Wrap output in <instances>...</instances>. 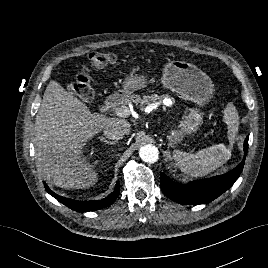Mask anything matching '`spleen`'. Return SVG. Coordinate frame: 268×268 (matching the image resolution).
<instances>
[{
    "label": "spleen",
    "instance_id": "1",
    "mask_svg": "<svg viewBox=\"0 0 268 268\" xmlns=\"http://www.w3.org/2000/svg\"><path fill=\"white\" fill-rule=\"evenodd\" d=\"M224 122L228 126L227 136L230 142L228 147L224 144H215L194 154L174 151L176 164L182 172L195 178L203 177L230 159L239 126L238 112L232 103H228L224 109Z\"/></svg>",
    "mask_w": 268,
    "mask_h": 268
}]
</instances>
